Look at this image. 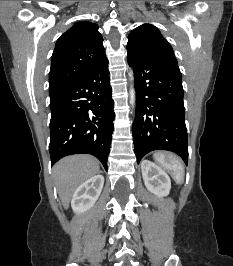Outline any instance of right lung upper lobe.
Wrapping results in <instances>:
<instances>
[{
	"label": "right lung upper lobe",
	"instance_id": "1",
	"mask_svg": "<svg viewBox=\"0 0 233 266\" xmlns=\"http://www.w3.org/2000/svg\"><path fill=\"white\" fill-rule=\"evenodd\" d=\"M106 60L103 38L91 22L75 24L57 40L51 58L49 93L80 78Z\"/></svg>",
	"mask_w": 233,
	"mask_h": 266
}]
</instances>
